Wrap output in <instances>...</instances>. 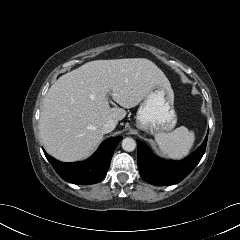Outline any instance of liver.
Listing matches in <instances>:
<instances>
[{
  "label": "liver",
  "mask_w": 240,
  "mask_h": 240,
  "mask_svg": "<svg viewBox=\"0 0 240 240\" xmlns=\"http://www.w3.org/2000/svg\"><path fill=\"white\" fill-rule=\"evenodd\" d=\"M157 85L169 80L145 58L96 60L62 75L48 90L41 109L39 131L46 151L71 162L90 155L103 138L102 126L124 119ZM108 94L123 108H111Z\"/></svg>",
  "instance_id": "obj_1"
}]
</instances>
